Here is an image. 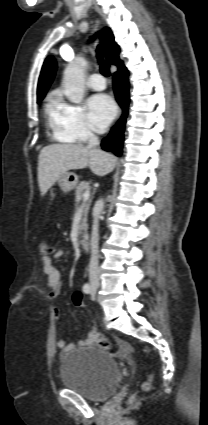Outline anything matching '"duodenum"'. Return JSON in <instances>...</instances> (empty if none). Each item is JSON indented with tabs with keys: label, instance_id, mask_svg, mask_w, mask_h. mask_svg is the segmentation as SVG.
Masks as SVG:
<instances>
[{
	"label": "duodenum",
	"instance_id": "duodenum-1",
	"mask_svg": "<svg viewBox=\"0 0 208 425\" xmlns=\"http://www.w3.org/2000/svg\"><path fill=\"white\" fill-rule=\"evenodd\" d=\"M80 245L82 246V248L84 250H88L89 249V240L87 235H82L80 238Z\"/></svg>",
	"mask_w": 208,
	"mask_h": 425
}]
</instances>
